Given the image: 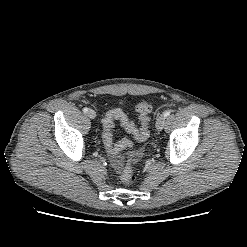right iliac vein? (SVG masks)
Instances as JSON below:
<instances>
[{"mask_svg":"<svg viewBox=\"0 0 247 247\" xmlns=\"http://www.w3.org/2000/svg\"><path fill=\"white\" fill-rule=\"evenodd\" d=\"M87 115L90 119H94L96 117V112L92 109H90L88 112H87Z\"/></svg>","mask_w":247,"mask_h":247,"instance_id":"1","label":"right iliac vein"}]
</instances>
